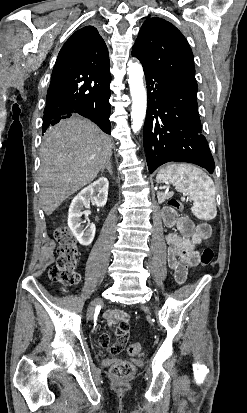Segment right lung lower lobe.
Returning a JSON list of instances; mask_svg holds the SVG:
<instances>
[{
    "label": "right lung lower lobe",
    "mask_w": 247,
    "mask_h": 413,
    "mask_svg": "<svg viewBox=\"0 0 247 413\" xmlns=\"http://www.w3.org/2000/svg\"><path fill=\"white\" fill-rule=\"evenodd\" d=\"M109 69L92 73L54 71L46 96L43 132L50 125L78 113L110 134Z\"/></svg>",
    "instance_id": "1"
}]
</instances>
